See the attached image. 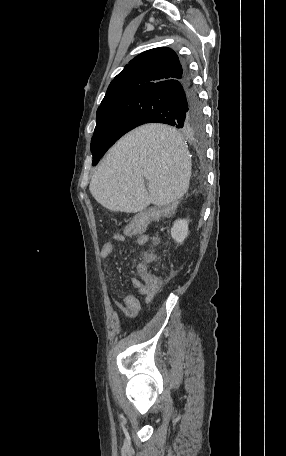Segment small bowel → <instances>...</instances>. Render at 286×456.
<instances>
[{"label": "small bowel", "mask_w": 286, "mask_h": 456, "mask_svg": "<svg viewBox=\"0 0 286 456\" xmlns=\"http://www.w3.org/2000/svg\"><path fill=\"white\" fill-rule=\"evenodd\" d=\"M127 237V234L118 235V239L124 240ZM149 240L148 235L140 234L135 238V244L137 247H144L147 245ZM114 251V244L113 242H105L100 250V256L102 259H108ZM132 285L134 288L138 290V292L142 295L144 302L146 304H151L156 296V291H150L142 286H138L134 280L132 279ZM113 304L115 308L125 317L132 318L135 317L140 308L141 303L138 297L133 294L124 293L121 299H113Z\"/></svg>", "instance_id": "1"}]
</instances>
